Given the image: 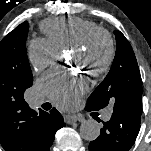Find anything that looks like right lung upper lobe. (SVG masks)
I'll return each mask as SVG.
<instances>
[{"instance_id":"right-lung-upper-lobe-1","label":"right lung upper lobe","mask_w":151,"mask_h":151,"mask_svg":"<svg viewBox=\"0 0 151 151\" xmlns=\"http://www.w3.org/2000/svg\"><path fill=\"white\" fill-rule=\"evenodd\" d=\"M41 112L24 98L0 96V142L6 151H39L44 134Z\"/></svg>"}]
</instances>
